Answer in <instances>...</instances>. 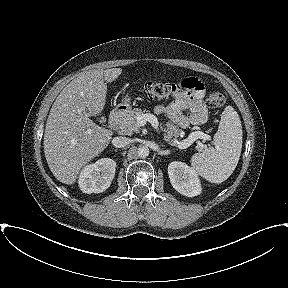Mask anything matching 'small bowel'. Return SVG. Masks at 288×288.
Wrapping results in <instances>:
<instances>
[{
	"label": "small bowel",
	"mask_w": 288,
	"mask_h": 288,
	"mask_svg": "<svg viewBox=\"0 0 288 288\" xmlns=\"http://www.w3.org/2000/svg\"><path fill=\"white\" fill-rule=\"evenodd\" d=\"M182 82L186 88L176 94L168 105H156L154 111L157 114H166L181 128H187L190 124H203L207 119V109L203 102L204 84L193 77L186 78ZM184 110L189 112L188 116L182 114Z\"/></svg>",
	"instance_id": "c3829d8e"
}]
</instances>
